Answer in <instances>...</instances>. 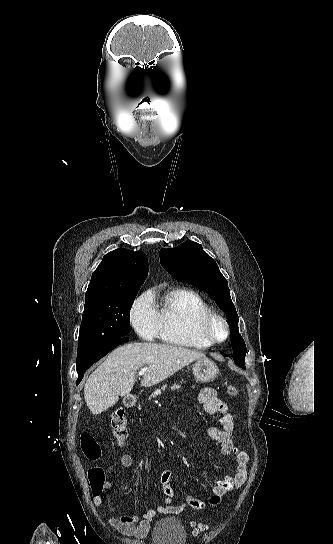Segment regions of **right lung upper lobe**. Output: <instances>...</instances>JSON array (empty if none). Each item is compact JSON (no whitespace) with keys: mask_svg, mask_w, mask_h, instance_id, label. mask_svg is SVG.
<instances>
[{"mask_svg":"<svg viewBox=\"0 0 333 544\" xmlns=\"http://www.w3.org/2000/svg\"><path fill=\"white\" fill-rule=\"evenodd\" d=\"M147 274L148 259L144 252L124 248L109 252L92 274L85 302L137 291Z\"/></svg>","mask_w":333,"mask_h":544,"instance_id":"cb5924a9","label":"right lung upper lobe"}]
</instances>
